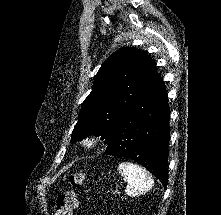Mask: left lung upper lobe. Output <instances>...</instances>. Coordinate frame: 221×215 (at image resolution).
I'll return each instance as SVG.
<instances>
[{
	"label": "left lung upper lobe",
	"mask_w": 221,
	"mask_h": 215,
	"mask_svg": "<svg viewBox=\"0 0 221 215\" xmlns=\"http://www.w3.org/2000/svg\"><path fill=\"white\" fill-rule=\"evenodd\" d=\"M157 75L155 63L144 51L131 47L113 53L102 64L82 104L71 142L93 134L108 144L119 121Z\"/></svg>",
	"instance_id": "left-lung-upper-lobe-1"
}]
</instances>
